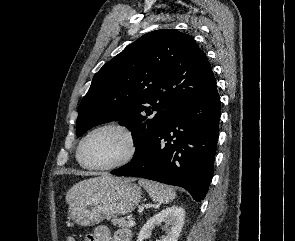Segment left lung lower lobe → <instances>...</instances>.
Returning a JSON list of instances; mask_svg holds the SVG:
<instances>
[{"instance_id": "1", "label": "left lung lower lobe", "mask_w": 295, "mask_h": 241, "mask_svg": "<svg viewBox=\"0 0 295 241\" xmlns=\"http://www.w3.org/2000/svg\"><path fill=\"white\" fill-rule=\"evenodd\" d=\"M220 105L215 82L208 92L179 108L139 155L111 173L180 186L196 201L204 199L213 176Z\"/></svg>"}]
</instances>
